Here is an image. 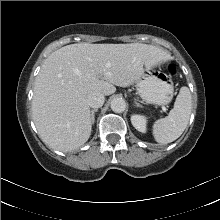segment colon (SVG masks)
Returning <instances> with one entry per match:
<instances>
[{
    "label": "colon",
    "instance_id": "1",
    "mask_svg": "<svg viewBox=\"0 0 220 220\" xmlns=\"http://www.w3.org/2000/svg\"><path fill=\"white\" fill-rule=\"evenodd\" d=\"M168 69L170 73L175 74L176 71H175L174 66L170 65Z\"/></svg>",
    "mask_w": 220,
    "mask_h": 220
}]
</instances>
